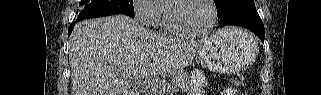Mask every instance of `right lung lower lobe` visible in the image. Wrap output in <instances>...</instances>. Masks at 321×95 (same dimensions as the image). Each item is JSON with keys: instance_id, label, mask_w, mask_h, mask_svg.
Masks as SVG:
<instances>
[{"instance_id": "right-lung-lower-lobe-1", "label": "right lung lower lobe", "mask_w": 321, "mask_h": 95, "mask_svg": "<svg viewBox=\"0 0 321 95\" xmlns=\"http://www.w3.org/2000/svg\"><path fill=\"white\" fill-rule=\"evenodd\" d=\"M77 21L73 22L70 27H69V30H68V36H70L71 32H72V29L74 27V25L76 24Z\"/></svg>"}]
</instances>
